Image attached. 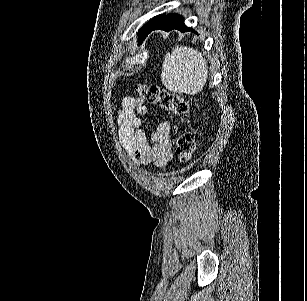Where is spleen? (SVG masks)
<instances>
[{
    "label": "spleen",
    "instance_id": "spleen-1",
    "mask_svg": "<svg viewBox=\"0 0 307 301\" xmlns=\"http://www.w3.org/2000/svg\"><path fill=\"white\" fill-rule=\"evenodd\" d=\"M206 60L197 48L176 44L172 52H167L160 74L165 88L172 92L198 94L205 86L208 78Z\"/></svg>",
    "mask_w": 307,
    "mask_h": 301
}]
</instances>
